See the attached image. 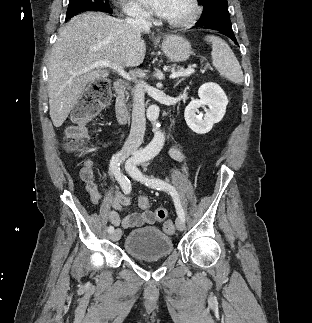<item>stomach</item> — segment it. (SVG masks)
I'll return each instance as SVG.
<instances>
[{"label":"stomach","instance_id":"0dacf381","mask_svg":"<svg viewBox=\"0 0 312 323\" xmlns=\"http://www.w3.org/2000/svg\"><path fill=\"white\" fill-rule=\"evenodd\" d=\"M162 52L170 62H185L193 54L190 42L182 36H175V34L164 38Z\"/></svg>","mask_w":312,"mask_h":323}]
</instances>
